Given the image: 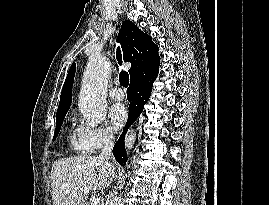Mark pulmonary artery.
Masks as SVG:
<instances>
[{
    "mask_svg": "<svg viewBox=\"0 0 269 205\" xmlns=\"http://www.w3.org/2000/svg\"><path fill=\"white\" fill-rule=\"evenodd\" d=\"M109 95L113 100L117 101L123 100L125 97L123 90L118 87L111 89Z\"/></svg>",
    "mask_w": 269,
    "mask_h": 205,
    "instance_id": "pulmonary-artery-1",
    "label": "pulmonary artery"
}]
</instances>
